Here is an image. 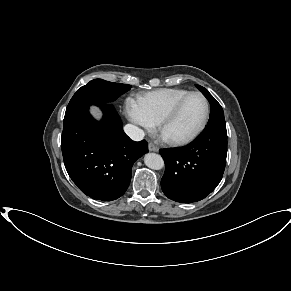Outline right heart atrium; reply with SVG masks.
Returning <instances> with one entry per match:
<instances>
[{
  "label": "right heart atrium",
  "instance_id": "d8ad5b80",
  "mask_svg": "<svg viewBox=\"0 0 291 291\" xmlns=\"http://www.w3.org/2000/svg\"><path fill=\"white\" fill-rule=\"evenodd\" d=\"M125 110L129 120L138 127L148 131L154 128L155 123L148 118L138 101L127 99Z\"/></svg>",
  "mask_w": 291,
  "mask_h": 291
}]
</instances>
